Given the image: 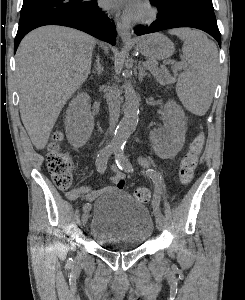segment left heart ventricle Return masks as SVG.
<instances>
[{
  "mask_svg": "<svg viewBox=\"0 0 245 300\" xmlns=\"http://www.w3.org/2000/svg\"><path fill=\"white\" fill-rule=\"evenodd\" d=\"M144 13V8L142 5L139 6V8L137 9L135 16L141 15Z\"/></svg>",
  "mask_w": 245,
  "mask_h": 300,
  "instance_id": "b2bd125f",
  "label": "left heart ventricle"
}]
</instances>
